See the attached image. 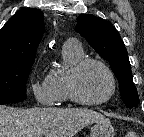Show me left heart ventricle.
Wrapping results in <instances>:
<instances>
[{
	"label": "left heart ventricle",
	"mask_w": 144,
	"mask_h": 137,
	"mask_svg": "<svg viewBox=\"0 0 144 137\" xmlns=\"http://www.w3.org/2000/svg\"><path fill=\"white\" fill-rule=\"evenodd\" d=\"M107 73L98 65L86 66L77 78V90L81 97L94 101L104 98L110 90Z\"/></svg>",
	"instance_id": "b2bd125f"
}]
</instances>
